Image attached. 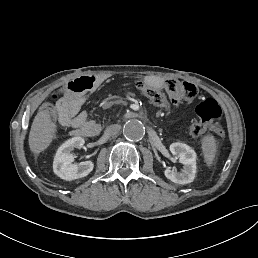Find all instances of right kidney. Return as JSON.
Instances as JSON below:
<instances>
[{
    "instance_id": "right-kidney-1",
    "label": "right kidney",
    "mask_w": 258,
    "mask_h": 258,
    "mask_svg": "<svg viewBox=\"0 0 258 258\" xmlns=\"http://www.w3.org/2000/svg\"><path fill=\"white\" fill-rule=\"evenodd\" d=\"M85 141L82 137H73L64 142L57 150L53 161V171L61 179L71 181L87 176L94 167L91 161L72 164L74 148H81Z\"/></svg>"
}]
</instances>
